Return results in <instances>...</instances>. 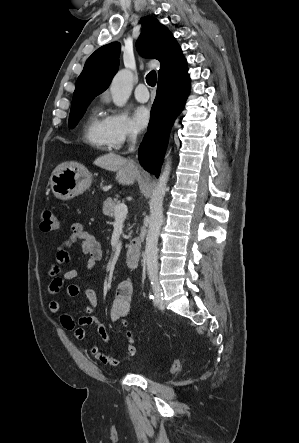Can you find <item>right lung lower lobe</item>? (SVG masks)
I'll use <instances>...</instances> for the list:
<instances>
[{
  "label": "right lung lower lobe",
  "mask_w": 299,
  "mask_h": 443,
  "mask_svg": "<svg viewBox=\"0 0 299 443\" xmlns=\"http://www.w3.org/2000/svg\"><path fill=\"white\" fill-rule=\"evenodd\" d=\"M189 89L190 78L187 71L179 76L158 80L148 132L138 152L141 165L156 177L160 174L171 127L184 107Z\"/></svg>",
  "instance_id": "right-lung-lower-lobe-1"
}]
</instances>
